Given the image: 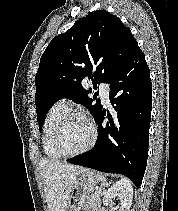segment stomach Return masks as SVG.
Returning a JSON list of instances; mask_svg holds the SVG:
<instances>
[{"label": "stomach", "instance_id": "stomach-1", "mask_svg": "<svg viewBox=\"0 0 178 211\" xmlns=\"http://www.w3.org/2000/svg\"><path fill=\"white\" fill-rule=\"evenodd\" d=\"M98 182L97 174L87 171L77 177L70 192V198L66 211H80L87 199L93 193Z\"/></svg>", "mask_w": 178, "mask_h": 211}]
</instances>
